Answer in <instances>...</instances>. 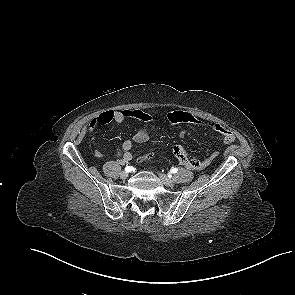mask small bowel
I'll return each instance as SVG.
<instances>
[{"mask_svg": "<svg viewBox=\"0 0 295 295\" xmlns=\"http://www.w3.org/2000/svg\"><path fill=\"white\" fill-rule=\"evenodd\" d=\"M130 118L139 120L140 122H142V126L137 129L132 139L125 140L118 149L117 156L121 158V161L124 164L129 163L132 160L131 149L133 146V142L145 143L149 140L150 126L156 120V117L142 110L105 111L98 115L91 123L92 130L96 132L102 126L110 122L123 123ZM166 118L171 124L205 125L210 130L220 134L224 143L226 144H230L235 140L234 134L229 129L217 123L204 124L198 121L189 112L181 110L171 111L167 113ZM186 134L187 129H182L180 131V137H184ZM173 153L182 166L192 170L205 169L218 155V152L215 151L210 153L203 159L190 158L187 155L185 149L179 145L173 148ZM95 156L97 158H102L103 153L100 150H96Z\"/></svg>", "mask_w": 295, "mask_h": 295, "instance_id": "obj_1", "label": "small bowel"}]
</instances>
